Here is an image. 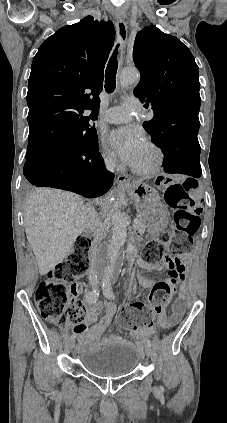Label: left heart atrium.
I'll use <instances>...</instances> for the list:
<instances>
[{
    "label": "left heart atrium",
    "mask_w": 227,
    "mask_h": 423,
    "mask_svg": "<svg viewBox=\"0 0 227 423\" xmlns=\"http://www.w3.org/2000/svg\"><path fill=\"white\" fill-rule=\"evenodd\" d=\"M108 140L122 160L132 166H135L140 152L146 145L145 139L134 129L115 130L109 135Z\"/></svg>",
    "instance_id": "left-heart-atrium-1"
}]
</instances>
